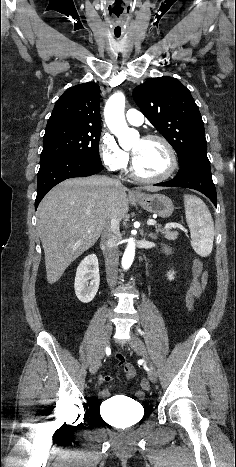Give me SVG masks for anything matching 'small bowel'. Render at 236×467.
Masks as SVG:
<instances>
[{
	"mask_svg": "<svg viewBox=\"0 0 236 467\" xmlns=\"http://www.w3.org/2000/svg\"><path fill=\"white\" fill-rule=\"evenodd\" d=\"M163 252H164L165 255L170 254V250L168 248H164ZM206 282H207V273L205 271H203V273L201 274V276L198 279H196V280L192 279V281L190 283L188 293H191L194 297H199L203 293ZM115 360H116L117 365L123 367L124 373H125V376H126L127 379L134 378V376L136 374V370H135V368H134V366L132 364L126 363L124 358L120 359L119 354L116 355ZM130 371H131V374H130ZM111 379H112V377L110 375H102L100 377V382L101 383H107V382L111 381ZM99 395L101 397H108L110 395V392H109L108 389H102V390L99 391Z\"/></svg>",
	"mask_w": 236,
	"mask_h": 467,
	"instance_id": "c3829d8e",
	"label": "small bowel"
}]
</instances>
